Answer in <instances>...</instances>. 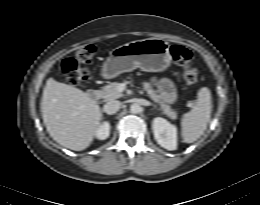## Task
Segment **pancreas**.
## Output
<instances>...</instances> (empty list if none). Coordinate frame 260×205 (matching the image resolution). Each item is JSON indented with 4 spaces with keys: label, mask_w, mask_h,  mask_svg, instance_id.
<instances>
[{
    "label": "pancreas",
    "mask_w": 260,
    "mask_h": 205,
    "mask_svg": "<svg viewBox=\"0 0 260 205\" xmlns=\"http://www.w3.org/2000/svg\"><path fill=\"white\" fill-rule=\"evenodd\" d=\"M142 85L148 96L155 103H158L160 105V108L165 115H167L172 120L177 119L176 111H174L169 105L160 100V97L156 94V91L151 87L148 82H143ZM118 86L119 83L117 82H112L104 86L100 90V97L103 98L105 101H111L122 97L123 94L119 91Z\"/></svg>",
    "instance_id": "obj_1"
}]
</instances>
